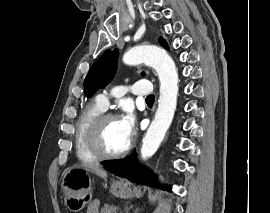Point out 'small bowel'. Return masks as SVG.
<instances>
[{
  "label": "small bowel",
  "mask_w": 270,
  "mask_h": 213,
  "mask_svg": "<svg viewBox=\"0 0 270 213\" xmlns=\"http://www.w3.org/2000/svg\"><path fill=\"white\" fill-rule=\"evenodd\" d=\"M86 213H99V205L97 201H93L89 204Z\"/></svg>",
  "instance_id": "small-bowel-1"
}]
</instances>
